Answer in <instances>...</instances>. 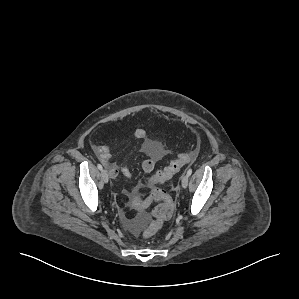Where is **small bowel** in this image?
Wrapping results in <instances>:
<instances>
[{"label":"small bowel","mask_w":299,"mask_h":299,"mask_svg":"<svg viewBox=\"0 0 299 299\" xmlns=\"http://www.w3.org/2000/svg\"><path fill=\"white\" fill-rule=\"evenodd\" d=\"M133 137L141 142L142 149L148 155V158L142 163L143 171L145 173L153 172L157 162L165 156L166 150L164 145L148 138L144 129H137L134 132ZM96 155L99 161L108 169L112 179H117L119 174H122L125 177L131 175V172L127 167L112 162L110 149L107 146H98L96 148ZM126 194L131 199L136 193L126 192Z\"/></svg>","instance_id":"obj_1"}]
</instances>
